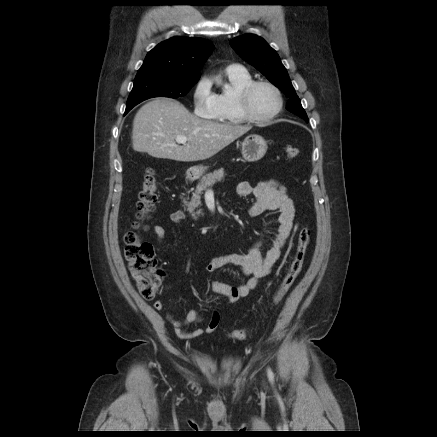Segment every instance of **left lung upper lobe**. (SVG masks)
I'll list each match as a JSON object with an SVG mask.
<instances>
[{
	"label": "left lung upper lobe",
	"instance_id": "obj_1",
	"mask_svg": "<svg viewBox=\"0 0 437 437\" xmlns=\"http://www.w3.org/2000/svg\"><path fill=\"white\" fill-rule=\"evenodd\" d=\"M231 47L245 61L258 69L266 78L289 98L287 110L308 121L286 68L278 54L264 39L254 34H245L230 41Z\"/></svg>",
	"mask_w": 437,
	"mask_h": 437
}]
</instances>
